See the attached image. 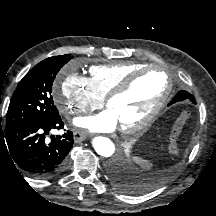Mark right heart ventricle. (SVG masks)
Returning <instances> with one entry per match:
<instances>
[{
    "label": "right heart ventricle",
    "instance_id": "1",
    "mask_svg": "<svg viewBox=\"0 0 216 216\" xmlns=\"http://www.w3.org/2000/svg\"><path fill=\"white\" fill-rule=\"evenodd\" d=\"M142 66L140 63L129 61L94 65L89 69V81L93 90L105 98L129 73Z\"/></svg>",
    "mask_w": 216,
    "mask_h": 216
}]
</instances>
